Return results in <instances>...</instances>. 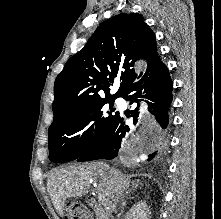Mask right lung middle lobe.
<instances>
[{"mask_svg": "<svg viewBox=\"0 0 221 219\" xmlns=\"http://www.w3.org/2000/svg\"><path fill=\"white\" fill-rule=\"evenodd\" d=\"M114 100L81 106L54 121L49 127V159L56 163L76 160L95 147L119 115Z\"/></svg>", "mask_w": 221, "mask_h": 219, "instance_id": "obj_1", "label": "right lung middle lobe"}]
</instances>
